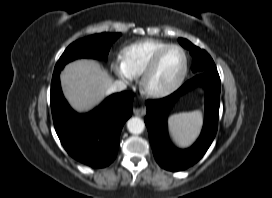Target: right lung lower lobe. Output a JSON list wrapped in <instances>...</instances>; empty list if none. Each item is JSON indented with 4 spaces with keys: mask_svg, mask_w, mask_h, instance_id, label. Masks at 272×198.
<instances>
[{
    "mask_svg": "<svg viewBox=\"0 0 272 198\" xmlns=\"http://www.w3.org/2000/svg\"><path fill=\"white\" fill-rule=\"evenodd\" d=\"M133 99L130 92L115 93L90 113L78 114L63 97L59 74H53L52 116L56 133L68 154L94 168L112 163L121 129L132 114Z\"/></svg>",
    "mask_w": 272,
    "mask_h": 198,
    "instance_id": "98d812e1",
    "label": "right lung lower lobe"
}]
</instances>
